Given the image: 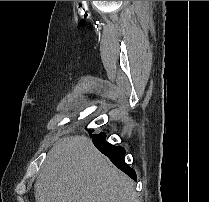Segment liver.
Listing matches in <instances>:
<instances>
[{
	"mask_svg": "<svg viewBox=\"0 0 209 202\" xmlns=\"http://www.w3.org/2000/svg\"><path fill=\"white\" fill-rule=\"evenodd\" d=\"M36 202H138L132 180L85 136L59 139L34 185Z\"/></svg>",
	"mask_w": 209,
	"mask_h": 202,
	"instance_id": "1",
	"label": "liver"
}]
</instances>
